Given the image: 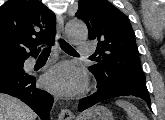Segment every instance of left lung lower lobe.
<instances>
[{
  "label": "left lung lower lobe",
  "instance_id": "1",
  "mask_svg": "<svg viewBox=\"0 0 165 120\" xmlns=\"http://www.w3.org/2000/svg\"><path fill=\"white\" fill-rule=\"evenodd\" d=\"M129 95L142 98L143 100L146 101L149 108H151L150 97L147 94L138 93V92L97 91L96 93H94V94H92L88 97L82 98L80 100V102H79V111H83V110L95 105L96 103L104 101L106 99L119 97V96H129Z\"/></svg>",
  "mask_w": 165,
  "mask_h": 120
}]
</instances>
